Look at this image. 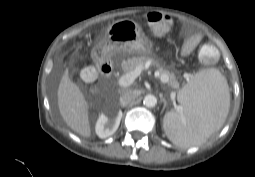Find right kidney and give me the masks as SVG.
<instances>
[{
    "instance_id": "obj_1",
    "label": "right kidney",
    "mask_w": 255,
    "mask_h": 177,
    "mask_svg": "<svg viewBox=\"0 0 255 177\" xmlns=\"http://www.w3.org/2000/svg\"><path fill=\"white\" fill-rule=\"evenodd\" d=\"M121 118V110L111 113L110 115L101 114L96 122V134L100 138H107L113 135L119 127Z\"/></svg>"
}]
</instances>
